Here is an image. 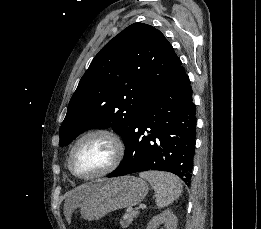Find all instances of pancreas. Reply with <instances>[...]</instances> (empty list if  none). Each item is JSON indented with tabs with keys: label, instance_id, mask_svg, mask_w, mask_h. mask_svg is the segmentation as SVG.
Masks as SVG:
<instances>
[{
	"label": "pancreas",
	"instance_id": "pancreas-1",
	"mask_svg": "<svg viewBox=\"0 0 261 229\" xmlns=\"http://www.w3.org/2000/svg\"><path fill=\"white\" fill-rule=\"evenodd\" d=\"M138 215L139 213L138 214L128 213L127 219H123V221H120V225L122 229H127V227L131 225L132 221H134V219H137Z\"/></svg>",
	"mask_w": 261,
	"mask_h": 229
}]
</instances>
